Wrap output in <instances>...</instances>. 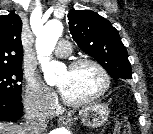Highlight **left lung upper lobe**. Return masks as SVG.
I'll use <instances>...</instances> for the list:
<instances>
[{"label":"left lung upper lobe","instance_id":"left-lung-upper-lobe-1","mask_svg":"<svg viewBox=\"0 0 153 134\" xmlns=\"http://www.w3.org/2000/svg\"><path fill=\"white\" fill-rule=\"evenodd\" d=\"M68 24L78 46L97 60L113 79H132L126 48L107 19L90 10L73 9L68 13Z\"/></svg>","mask_w":153,"mask_h":134}]
</instances>
